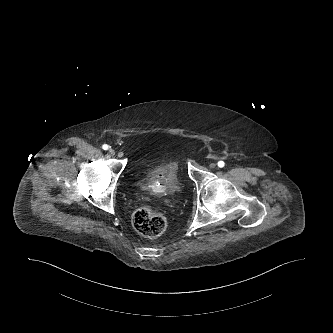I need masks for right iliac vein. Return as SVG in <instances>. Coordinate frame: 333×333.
<instances>
[{"label": "right iliac vein", "instance_id": "1", "mask_svg": "<svg viewBox=\"0 0 333 333\" xmlns=\"http://www.w3.org/2000/svg\"><path fill=\"white\" fill-rule=\"evenodd\" d=\"M109 153H110L111 155H115V150L112 149V148H110V149H109Z\"/></svg>", "mask_w": 333, "mask_h": 333}]
</instances>
